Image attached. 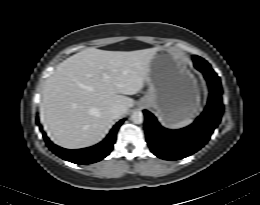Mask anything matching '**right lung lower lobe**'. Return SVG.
I'll return each mask as SVG.
<instances>
[{"mask_svg":"<svg viewBox=\"0 0 260 205\" xmlns=\"http://www.w3.org/2000/svg\"><path fill=\"white\" fill-rule=\"evenodd\" d=\"M38 120V119H37ZM124 120L119 121L111 130L109 135L99 144L78 150H68L53 144L43 133V138L52 152L64 160L76 164H91L105 158L112 150L113 144L116 140V133ZM42 130V127H40Z\"/></svg>","mask_w":260,"mask_h":205,"instance_id":"right-lung-lower-lobe-1","label":"right lung lower lobe"}]
</instances>
